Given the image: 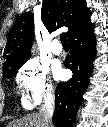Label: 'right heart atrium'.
<instances>
[{
  "mask_svg": "<svg viewBox=\"0 0 108 127\" xmlns=\"http://www.w3.org/2000/svg\"><path fill=\"white\" fill-rule=\"evenodd\" d=\"M23 98L28 104L39 105L54 96V86L47 67L37 61L24 63L16 76Z\"/></svg>",
  "mask_w": 108,
  "mask_h": 127,
  "instance_id": "obj_1",
  "label": "right heart atrium"
}]
</instances>
